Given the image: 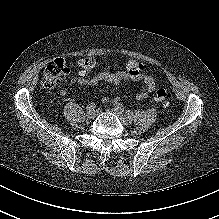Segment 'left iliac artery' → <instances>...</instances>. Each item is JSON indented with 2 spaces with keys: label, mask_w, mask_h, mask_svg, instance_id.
<instances>
[{
  "label": "left iliac artery",
  "mask_w": 219,
  "mask_h": 219,
  "mask_svg": "<svg viewBox=\"0 0 219 219\" xmlns=\"http://www.w3.org/2000/svg\"><path fill=\"white\" fill-rule=\"evenodd\" d=\"M116 106L119 107L120 110L124 112V106L121 103H117Z\"/></svg>",
  "instance_id": "obj_1"
}]
</instances>
